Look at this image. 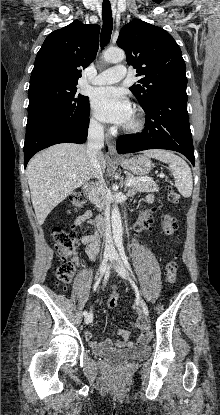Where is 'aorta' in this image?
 Masks as SVG:
<instances>
[{"label": "aorta", "instance_id": "762f6f07", "mask_svg": "<svg viewBox=\"0 0 220 415\" xmlns=\"http://www.w3.org/2000/svg\"><path fill=\"white\" fill-rule=\"evenodd\" d=\"M104 60L108 63H118L125 59V52L119 48H109L104 52ZM111 223H112V232H113V240L116 245L122 243V221L118 206H113L112 213H111Z\"/></svg>", "mask_w": 220, "mask_h": 415}]
</instances>
